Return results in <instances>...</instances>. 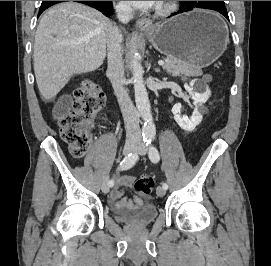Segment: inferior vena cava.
<instances>
[{
  "instance_id": "obj_1",
  "label": "inferior vena cava",
  "mask_w": 271,
  "mask_h": 266,
  "mask_svg": "<svg viewBox=\"0 0 271 266\" xmlns=\"http://www.w3.org/2000/svg\"><path fill=\"white\" fill-rule=\"evenodd\" d=\"M117 18L122 23H128L133 18L131 6L125 3L115 7ZM122 34L117 27H113L107 41L108 69L110 81L117 97L126 129L128 141H141L138 112L134 107L127 90L124 88V65L122 61Z\"/></svg>"
}]
</instances>
